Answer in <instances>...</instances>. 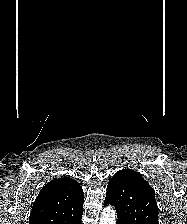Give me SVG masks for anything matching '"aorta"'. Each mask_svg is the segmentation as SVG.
Masks as SVG:
<instances>
[{"mask_svg":"<svg viewBox=\"0 0 187 224\" xmlns=\"http://www.w3.org/2000/svg\"><path fill=\"white\" fill-rule=\"evenodd\" d=\"M99 224H116V212L113 207L104 208Z\"/></svg>","mask_w":187,"mask_h":224,"instance_id":"aorta-1","label":"aorta"}]
</instances>
